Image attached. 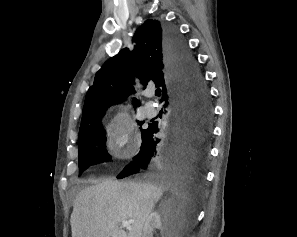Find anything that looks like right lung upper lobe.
<instances>
[{"label": "right lung upper lobe", "instance_id": "cb5924a9", "mask_svg": "<svg viewBox=\"0 0 297 237\" xmlns=\"http://www.w3.org/2000/svg\"><path fill=\"white\" fill-rule=\"evenodd\" d=\"M163 26L164 23L157 20H146L133 37L134 50L130 52L124 48L96 73L85 98L79 133L101 121L111 104L124 101L133 92L135 76L143 85L154 81L156 86L162 87V99L167 96L172 81L165 55ZM133 102L135 107L140 104L136 98Z\"/></svg>", "mask_w": 297, "mask_h": 237}]
</instances>
